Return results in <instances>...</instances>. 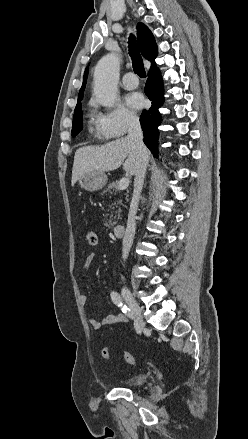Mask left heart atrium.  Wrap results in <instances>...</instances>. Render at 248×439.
Returning <instances> with one entry per match:
<instances>
[{
  "instance_id": "left-heart-atrium-1",
  "label": "left heart atrium",
  "mask_w": 248,
  "mask_h": 439,
  "mask_svg": "<svg viewBox=\"0 0 248 439\" xmlns=\"http://www.w3.org/2000/svg\"><path fill=\"white\" fill-rule=\"evenodd\" d=\"M127 103L133 109H141L145 104V100L142 94L132 93L127 96Z\"/></svg>"
}]
</instances>
